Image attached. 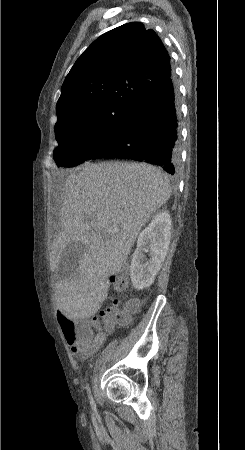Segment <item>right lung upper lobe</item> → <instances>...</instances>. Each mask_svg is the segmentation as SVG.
<instances>
[{"label":"right lung upper lobe","mask_w":245,"mask_h":450,"mask_svg":"<svg viewBox=\"0 0 245 450\" xmlns=\"http://www.w3.org/2000/svg\"><path fill=\"white\" fill-rule=\"evenodd\" d=\"M172 75L160 38L140 22L119 26L77 59L61 88L57 116L105 104L134 107Z\"/></svg>","instance_id":"obj_1"}]
</instances>
